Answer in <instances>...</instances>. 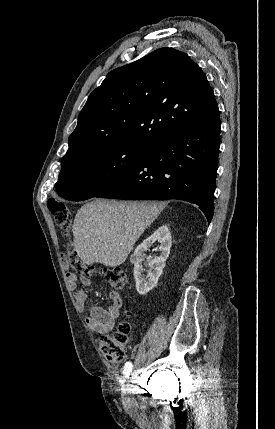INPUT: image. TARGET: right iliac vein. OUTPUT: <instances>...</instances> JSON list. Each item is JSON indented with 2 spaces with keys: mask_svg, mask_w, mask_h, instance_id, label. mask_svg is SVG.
Listing matches in <instances>:
<instances>
[{
  "mask_svg": "<svg viewBox=\"0 0 275 429\" xmlns=\"http://www.w3.org/2000/svg\"><path fill=\"white\" fill-rule=\"evenodd\" d=\"M129 383H130V379L128 378L125 381V385H124V394H125L126 401H130L131 400V397L129 396Z\"/></svg>",
  "mask_w": 275,
  "mask_h": 429,
  "instance_id": "obj_1",
  "label": "right iliac vein"
}]
</instances>
